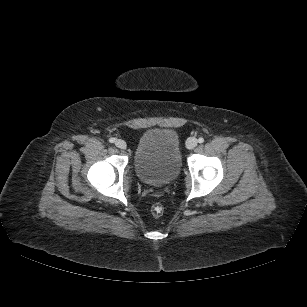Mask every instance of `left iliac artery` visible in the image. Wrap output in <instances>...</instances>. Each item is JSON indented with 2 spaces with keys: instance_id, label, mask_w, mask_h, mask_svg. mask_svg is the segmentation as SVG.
Segmentation results:
<instances>
[{
  "instance_id": "44dca946",
  "label": "left iliac artery",
  "mask_w": 307,
  "mask_h": 307,
  "mask_svg": "<svg viewBox=\"0 0 307 307\" xmlns=\"http://www.w3.org/2000/svg\"><path fill=\"white\" fill-rule=\"evenodd\" d=\"M198 142H199V143H203V142H204V139H203L202 137H200V138L198 139Z\"/></svg>"
}]
</instances>
